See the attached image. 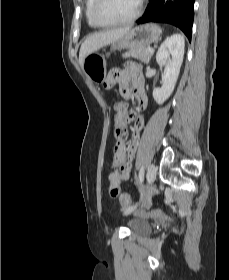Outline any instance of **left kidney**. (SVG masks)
<instances>
[{
    "mask_svg": "<svg viewBox=\"0 0 229 280\" xmlns=\"http://www.w3.org/2000/svg\"><path fill=\"white\" fill-rule=\"evenodd\" d=\"M184 47V37L180 34H174L167 38L158 49L156 61L160 66H164L162 87L153 90V98L158 104L164 103L175 88L183 62Z\"/></svg>",
    "mask_w": 229,
    "mask_h": 280,
    "instance_id": "1",
    "label": "left kidney"
}]
</instances>
